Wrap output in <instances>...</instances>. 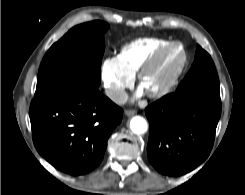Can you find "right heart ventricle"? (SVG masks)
Segmentation results:
<instances>
[{
    "instance_id": "1",
    "label": "right heart ventricle",
    "mask_w": 245,
    "mask_h": 195,
    "mask_svg": "<svg viewBox=\"0 0 245 195\" xmlns=\"http://www.w3.org/2000/svg\"><path fill=\"white\" fill-rule=\"evenodd\" d=\"M170 43L161 38H140L124 45L116 56L122 68L134 76L141 65L159 48Z\"/></svg>"
}]
</instances>
